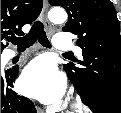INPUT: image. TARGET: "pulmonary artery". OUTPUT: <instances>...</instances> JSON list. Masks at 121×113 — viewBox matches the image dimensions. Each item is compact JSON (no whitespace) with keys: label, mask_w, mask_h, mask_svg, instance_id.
Instances as JSON below:
<instances>
[{"label":"pulmonary artery","mask_w":121,"mask_h":113,"mask_svg":"<svg viewBox=\"0 0 121 113\" xmlns=\"http://www.w3.org/2000/svg\"><path fill=\"white\" fill-rule=\"evenodd\" d=\"M55 49L60 51H68L71 49V41L67 34L59 33L54 37ZM78 55L81 56V51H77ZM15 55L14 52L10 53L8 56L11 58Z\"/></svg>","instance_id":"1"}]
</instances>
